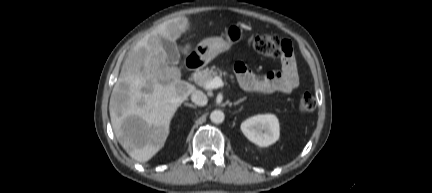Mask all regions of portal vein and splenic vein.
Wrapping results in <instances>:
<instances>
[{
  "instance_id": "1",
  "label": "portal vein and splenic vein",
  "mask_w": 432,
  "mask_h": 193,
  "mask_svg": "<svg viewBox=\"0 0 432 193\" xmlns=\"http://www.w3.org/2000/svg\"><path fill=\"white\" fill-rule=\"evenodd\" d=\"M224 85L220 76H215L212 80L206 83V89H216Z\"/></svg>"
}]
</instances>
